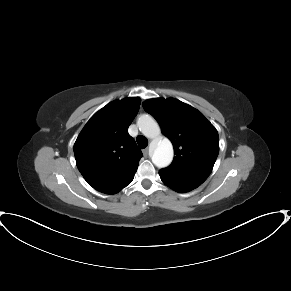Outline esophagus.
Here are the masks:
<instances>
[{
  "mask_svg": "<svg viewBox=\"0 0 291 291\" xmlns=\"http://www.w3.org/2000/svg\"><path fill=\"white\" fill-rule=\"evenodd\" d=\"M148 153H149V152H148V149H144L143 154H144L145 157L148 156Z\"/></svg>",
  "mask_w": 291,
  "mask_h": 291,
  "instance_id": "obj_1",
  "label": "esophagus"
}]
</instances>
